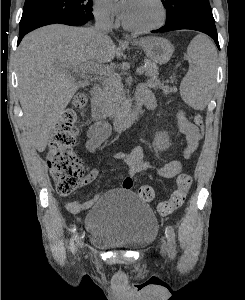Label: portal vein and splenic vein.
Listing matches in <instances>:
<instances>
[{
    "instance_id": "portal-vein-and-splenic-vein-1",
    "label": "portal vein and splenic vein",
    "mask_w": 245,
    "mask_h": 300,
    "mask_svg": "<svg viewBox=\"0 0 245 300\" xmlns=\"http://www.w3.org/2000/svg\"><path fill=\"white\" fill-rule=\"evenodd\" d=\"M75 71H79L81 73H92V74H102V73H107L109 71L108 68H104L101 65L98 64H90L86 67H84L81 70H76ZM144 73V68L143 67H139L136 69V74L137 75H142Z\"/></svg>"
}]
</instances>
